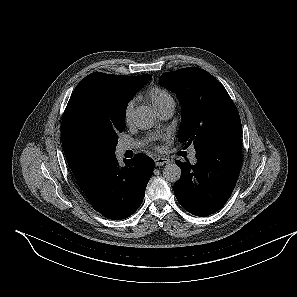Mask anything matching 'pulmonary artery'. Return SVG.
I'll return each mask as SVG.
<instances>
[{"label":"pulmonary artery","instance_id":"obj_1","mask_svg":"<svg viewBox=\"0 0 297 297\" xmlns=\"http://www.w3.org/2000/svg\"><path fill=\"white\" fill-rule=\"evenodd\" d=\"M175 110V103L174 100H170L168 101L165 105H163L159 110V115L162 119L166 120L169 119ZM142 145L141 142L139 141H128V142H123L119 145V151L122 153H125L126 151L129 150H136L138 148H140ZM190 161L192 163L196 162V152L193 149L190 153Z\"/></svg>","mask_w":297,"mask_h":297}]
</instances>
